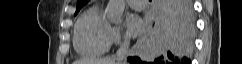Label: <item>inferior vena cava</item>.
<instances>
[{"label":"inferior vena cava","mask_w":242,"mask_h":64,"mask_svg":"<svg viewBox=\"0 0 242 64\" xmlns=\"http://www.w3.org/2000/svg\"><path fill=\"white\" fill-rule=\"evenodd\" d=\"M128 48H129V40L125 38L123 43L120 45L119 49L117 50L114 58V60H116L118 64H121V63L125 64Z\"/></svg>","instance_id":"602c4592"}]
</instances>
